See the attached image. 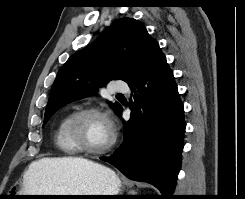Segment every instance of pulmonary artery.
Instances as JSON below:
<instances>
[{
	"label": "pulmonary artery",
	"instance_id": "pulmonary-artery-1",
	"mask_svg": "<svg viewBox=\"0 0 245 199\" xmlns=\"http://www.w3.org/2000/svg\"><path fill=\"white\" fill-rule=\"evenodd\" d=\"M128 91H129V87L125 82L117 81L110 86L111 93H123Z\"/></svg>",
	"mask_w": 245,
	"mask_h": 199
}]
</instances>
